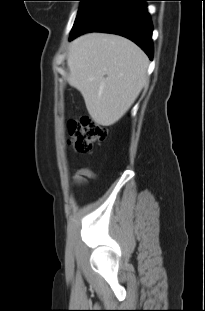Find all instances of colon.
Instances as JSON below:
<instances>
[{"label": "colon", "mask_w": 205, "mask_h": 311, "mask_svg": "<svg viewBox=\"0 0 205 311\" xmlns=\"http://www.w3.org/2000/svg\"><path fill=\"white\" fill-rule=\"evenodd\" d=\"M69 146L79 153H90L96 142L106 137V129L88 116L68 123Z\"/></svg>", "instance_id": "5ec220e1"}]
</instances>
